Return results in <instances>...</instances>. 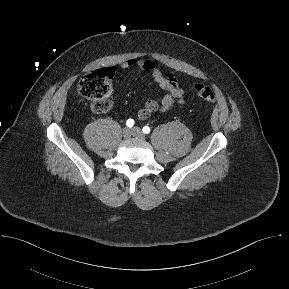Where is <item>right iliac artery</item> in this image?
I'll return each mask as SVG.
<instances>
[{
  "instance_id": "right-iliac-artery-1",
  "label": "right iliac artery",
  "mask_w": 289,
  "mask_h": 289,
  "mask_svg": "<svg viewBox=\"0 0 289 289\" xmlns=\"http://www.w3.org/2000/svg\"><path fill=\"white\" fill-rule=\"evenodd\" d=\"M126 125L131 128L134 125V120L133 119H128L127 122H126Z\"/></svg>"
}]
</instances>
